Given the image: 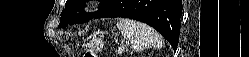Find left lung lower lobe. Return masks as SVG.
I'll return each instance as SVG.
<instances>
[{
    "label": "left lung lower lobe",
    "mask_w": 249,
    "mask_h": 57,
    "mask_svg": "<svg viewBox=\"0 0 249 57\" xmlns=\"http://www.w3.org/2000/svg\"><path fill=\"white\" fill-rule=\"evenodd\" d=\"M181 0H113L94 18H130L155 28L174 50L179 39Z\"/></svg>",
    "instance_id": "left-lung-lower-lobe-1"
}]
</instances>
